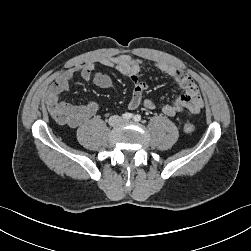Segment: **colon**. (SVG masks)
Masks as SVG:
<instances>
[{
  "mask_svg": "<svg viewBox=\"0 0 251 251\" xmlns=\"http://www.w3.org/2000/svg\"><path fill=\"white\" fill-rule=\"evenodd\" d=\"M184 130L188 133L194 131V125L192 123H186L184 125Z\"/></svg>",
  "mask_w": 251,
  "mask_h": 251,
  "instance_id": "colon-1",
  "label": "colon"
}]
</instances>
